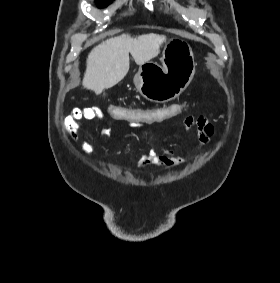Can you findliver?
Masks as SVG:
<instances>
[{"label": "liver", "mask_w": 280, "mask_h": 283, "mask_svg": "<svg viewBox=\"0 0 280 283\" xmlns=\"http://www.w3.org/2000/svg\"><path fill=\"white\" fill-rule=\"evenodd\" d=\"M166 40L154 33L131 37L122 34L103 41L88 55L82 85L97 95L119 83L129 71V53L137 65L153 59Z\"/></svg>", "instance_id": "obj_1"}]
</instances>
